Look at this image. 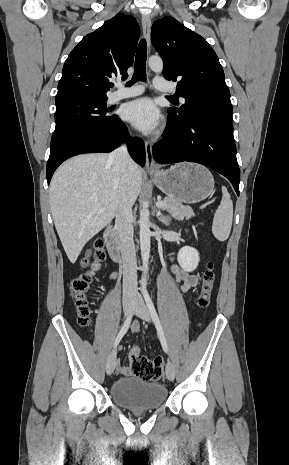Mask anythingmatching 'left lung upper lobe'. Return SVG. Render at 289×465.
<instances>
[{
    "label": "left lung upper lobe",
    "instance_id": "1",
    "mask_svg": "<svg viewBox=\"0 0 289 465\" xmlns=\"http://www.w3.org/2000/svg\"><path fill=\"white\" fill-rule=\"evenodd\" d=\"M152 43L164 62L167 80H179L177 91L185 104L169 108L176 120L192 117L231 122L230 91L219 59L207 41L172 17L155 21Z\"/></svg>",
    "mask_w": 289,
    "mask_h": 465
}]
</instances>
